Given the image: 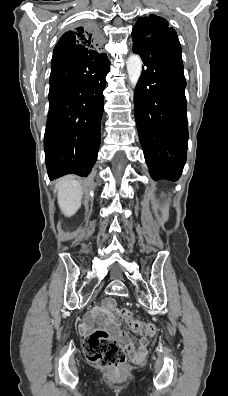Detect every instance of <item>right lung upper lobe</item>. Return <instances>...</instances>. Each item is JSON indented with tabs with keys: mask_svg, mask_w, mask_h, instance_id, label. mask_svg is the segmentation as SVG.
Listing matches in <instances>:
<instances>
[{
	"mask_svg": "<svg viewBox=\"0 0 228 396\" xmlns=\"http://www.w3.org/2000/svg\"><path fill=\"white\" fill-rule=\"evenodd\" d=\"M98 36L87 27H77L64 33L56 44L53 53L61 54L70 50L101 52Z\"/></svg>",
	"mask_w": 228,
	"mask_h": 396,
	"instance_id": "cb5924a9",
	"label": "right lung upper lobe"
}]
</instances>
